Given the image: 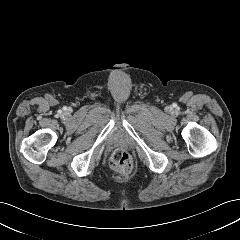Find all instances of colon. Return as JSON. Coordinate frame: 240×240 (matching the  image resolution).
Listing matches in <instances>:
<instances>
[{"instance_id": "obj_1", "label": "colon", "mask_w": 240, "mask_h": 240, "mask_svg": "<svg viewBox=\"0 0 240 240\" xmlns=\"http://www.w3.org/2000/svg\"><path fill=\"white\" fill-rule=\"evenodd\" d=\"M110 165L117 172L128 174L133 167L132 157L127 151L118 149L111 155Z\"/></svg>"}]
</instances>
